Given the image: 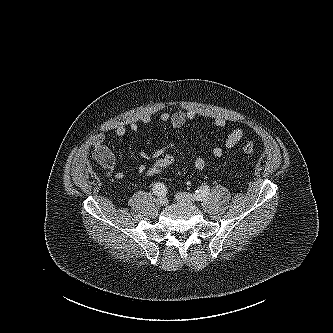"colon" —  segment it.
I'll list each match as a JSON object with an SVG mask.
<instances>
[{"instance_id": "1", "label": "colon", "mask_w": 333, "mask_h": 333, "mask_svg": "<svg viewBox=\"0 0 333 333\" xmlns=\"http://www.w3.org/2000/svg\"><path fill=\"white\" fill-rule=\"evenodd\" d=\"M244 153L251 155L255 148L252 143H246L242 146ZM175 162V156L171 152H167L160 157L154 159L153 163L146 167L145 174L149 177H157L168 170Z\"/></svg>"}]
</instances>
